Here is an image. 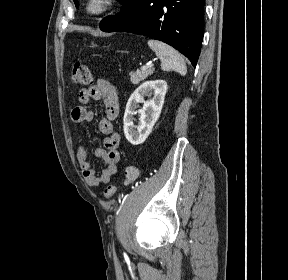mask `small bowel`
I'll return each mask as SVG.
<instances>
[{
    "label": "small bowel",
    "mask_w": 288,
    "mask_h": 280,
    "mask_svg": "<svg viewBox=\"0 0 288 280\" xmlns=\"http://www.w3.org/2000/svg\"><path fill=\"white\" fill-rule=\"evenodd\" d=\"M92 101H101L104 106L105 116L99 121L98 128L103 135V147L95 150V156L101 160L104 167L97 173L88 160L86 145L81 143L77 151V160L85 182L91 187L106 184L117 172L120 161L119 144L120 135L115 131L113 122L119 114V102L116 87L105 79L83 88L79 92L81 105L71 111V120L74 123L90 122L94 113L87 108Z\"/></svg>",
    "instance_id": "obj_1"
}]
</instances>
